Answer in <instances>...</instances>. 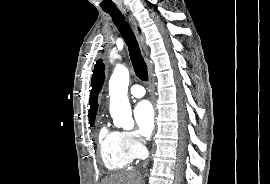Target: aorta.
I'll list each match as a JSON object with an SVG mask.
<instances>
[{
  "label": "aorta",
  "instance_id": "obj_1",
  "mask_svg": "<svg viewBox=\"0 0 270 184\" xmlns=\"http://www.w3.org/2000/svg\"><path fill=\"white\" fill-rule=\"evenodd\" d=\"M129 85V71L123 65H117L109 81L110 114L114 125L125 130L134 127L131 106L127 92Z\"/></svg>",
  "mask_w": 270,
  "mask_h": 184
}]
</instances>
